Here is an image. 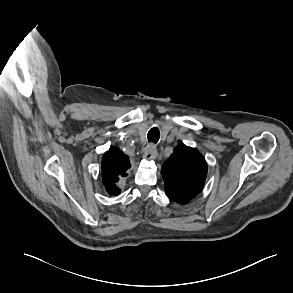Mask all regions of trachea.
Segmentation results:
<instances>
[{
  "mask_svg": "<svg viewBox=\"0 0 293 293\" xmlns=\"http://www.w3.org/2000/svg\"><path fill=\"white\" fill-rule=\"evenodd\" d=\"M149 142L157 143L160 138V131L157 127H153L149 130L147 134Z\"/></svg>",
  "mask_w": 293,
  "mask_h": 293,
  "instance_id": "trachea-1",
  "label": "trachea"
}]
</instances>
